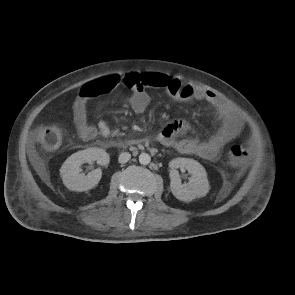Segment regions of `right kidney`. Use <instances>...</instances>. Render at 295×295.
Wrapping results in <instances>:
<instances>
[{
	"mask_svg": "<svg viewBox=\"0 0 295 295\" xmlns=\"http://www.w3.org/2000/svg\"><path fill=\"white\" fill-rule=\"evenodd\" d=\"M94 161H97L100 165H107L109 155L103 149L88 148L68 157L60 169L64 185L69 190L76 192L87 191L96 187L102 175L100 169H95L86 176L81 173L83 163H92Z\"/></svg>",
	"mask_w": 295,
	"mask_h": 295,
	"instance_id": "obj_1",
	"label": "right kidney"
}]
</instances>
